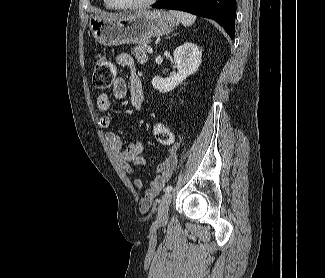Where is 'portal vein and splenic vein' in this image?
<instances>
[{
  "mask_svg": "<svg viewBox=\"0 0 325 278\" xmlns=\"http://www.w3.org/2000/svg\"><path fill=\"white\" fill-rule=\"evenodd\" d=\"M147 52L150 53V54L153 53V49H152V47H148V48H147Z\"/></svg>",
  "mask_w": 325,
  "mask_h": 278,
  "instance_id": "portal-vein-and-splenic-vein-1",
  "label": "portal vein and splenic vein"
}]
</instances>
